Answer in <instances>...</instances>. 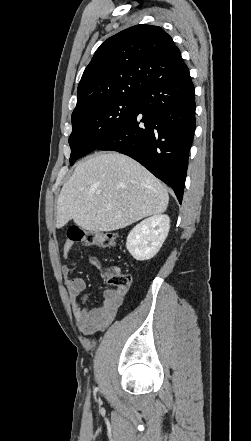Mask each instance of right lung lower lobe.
<instances>
[{
    "instance_id": "98d812e1",
    "label": "right lung lower lobe",
    "mask_w": 251,
    "mask_h": 441,
    "mask_svg": "<svg viewBox=\"0 0 251 441\" xmlns=\"http://www.w3.org/2000/svg\"><path fill=\"white\" fill-rule=\"evenodd\" d=\"M195 108L194 85L185 67L146 89L134 113L97 149L135 159L169 185L181 203Z\"/></svg>"
}]
</instances>
